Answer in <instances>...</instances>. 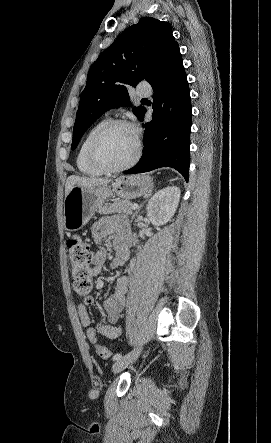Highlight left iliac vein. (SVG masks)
Wrapping results in <instances>:
<instances>
[{"label":"left iliac vein","mask_w":271,"mask_h":443,"mask_svg":"<svg viewBox=\"0 0 271 443\" xmlns=\"http://www.w3.org/2000/svg\"><path fill=\"white\" fill-rule=\"evenodd\" d=\"M141 352H142V346H138L137 348L129 352L127 355L117 360L112 366L113 373H119L123 369L127 368L130 364L134 363L140 356Z\"/></svg>","instance_id":"obj_1"}]
</instances>
